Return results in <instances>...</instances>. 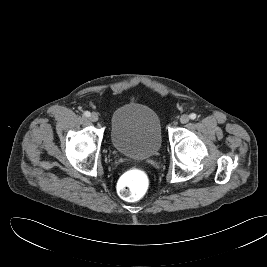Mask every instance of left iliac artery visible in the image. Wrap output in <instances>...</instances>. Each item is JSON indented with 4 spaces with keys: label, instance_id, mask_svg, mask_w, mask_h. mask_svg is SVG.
<instances>
[{
    "label": "left iliac artery",
    "instance_id": "obj_1",
    "mask_svg": "<svg viewBox=\"0 0 267 267\" xmlns=\"http://www.w3.org/2000/svg\"><path fill=\"white\" fill-rule=\"evenodd\" d=\"M196 117H197V115H196L195 113H191V114H190V118H191L192 120L196 119Z\"/></svg>",
    "mask_w": 267,
    "mask_h": 267
}]
</instances>
